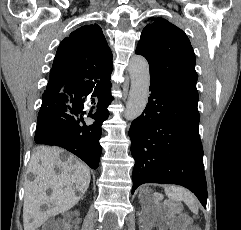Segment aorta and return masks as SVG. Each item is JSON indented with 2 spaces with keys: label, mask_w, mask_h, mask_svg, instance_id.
<instances>
[{
  "label": "aorta",
  "mask_w": 241,
  "mask_h": 230,
  "mask_svg": "<svg viewBox=\"0 0 241 230\" xmlns=\"http://www.w3.org/2000/svg\"><path fill=\"white\" fill-rule=\"evenodd\" d=\"M128 72L131 86L126 105L125 118L134 120L144 111L149 95L150 72L147 60L142 56H133Z\"/></svg>",
  "instance_id": "aorta-1"
}]
</instances>
